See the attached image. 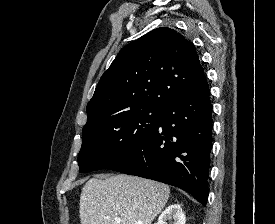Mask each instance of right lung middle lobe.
Returning a JSON list of instances; mask_svg holds the SVG:
<instances>
[{
	"label": "right lung middle lobe",
	"mask_w": 275,
	"mask_h": 224,
	"mask_svg": "<svg viewBox=\"0 0 275 224\" xmlns=\"http://www.w3.org/2000/svg\"><path fill=\"white\" fill-rule=\"evenodd\" d=\"M163 111L139 109L83 129V143L78 155L80 172L108 168L120 160L153 132Z\"/></svg>",
	"instance_id": "right-lung-middle-lobe-1"
}]
</instances>
